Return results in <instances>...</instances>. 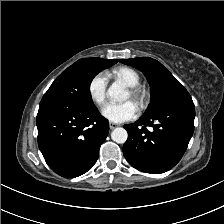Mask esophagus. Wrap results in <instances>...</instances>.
Instances as JSON below:
<instances>
[{"label":"esophagus","instance_id":"34e87169","mask_svg":"<svg viewBox=\"0 0 224 224\" xmlns=\"http://www.w3.org/2000/svg\"><path fill=\"white\" fill-rule=\"evenodd\" d=\"M118 126H119V125L116 124V123H112V122L109 123V127H110V129H114V128L118 127Z\"/></svg>","mask_w":224,"mask_h":224}]
</instances>
